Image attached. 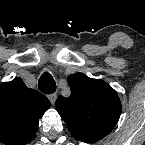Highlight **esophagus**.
I'll return each instance as SVG.
<instances>
[{
	"label": "esophagus",
	"instance_id": "esophagus-1",
	"mask_svg": "<svg viewBox=\"0 0 145 145\" xmlns=\"http://www.w3.org/2000/svg\"><path fill=\"white\" fill-rule=\"evenodd\" d=\"M48 98H49L50 102L52 103V105H54L55 101L57 99V94L56 93L51 94V95L48 96Z\"/></svg>",
	"mask_w": 145,
	"mask_h": 145
}]
</instances>
